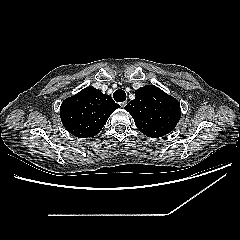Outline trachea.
<instances>
[{"label": "trachea", "instance_id": "1", "mask_svg": "<svg viewBox=\"0 0 240 240\" xmlns=\"http://www.w3.org/2000/svg\"><path fill=\"white\" fill-rule=\"evenodd\" d=\"M113 97L115 101L123 102L126 100V93L123 90L118 89L114 92Z\"/></svg>", "mask_w": 240, "mask_h": 240}]
</instances>
